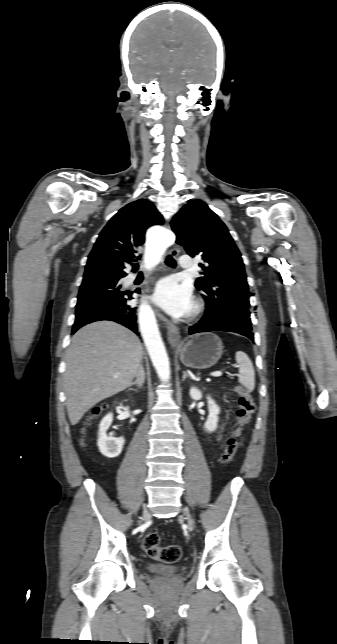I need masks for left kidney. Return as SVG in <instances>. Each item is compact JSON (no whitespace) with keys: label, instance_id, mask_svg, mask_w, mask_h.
I'll return each instance as SVG.
<instances>
[{"label":"left kidney","instance_id":"5707ae66","mask_svg":"<svg viewBox=\"0 0 337 644\" xmlns=\"http://www.w3.org/2000/svg\"><path fill=\"white\" fill-rule=\"evenodd\" d=\"M190 396L194 400H200L202 398V393L199 389L196 387H192L190 389ZM208 400V411L209 415L208 418L204 424V429L208 432H213L217 428L218 424V414L220 413V408L219 406L215 403L213 399H211L210 396L207 397Z\"/></svg>","mask_w":337,"mask_h":644}]
</instances>
